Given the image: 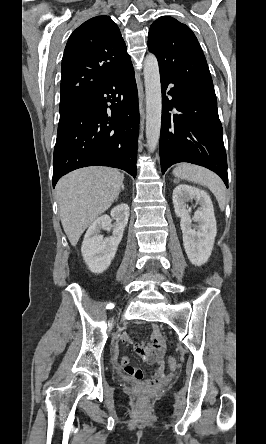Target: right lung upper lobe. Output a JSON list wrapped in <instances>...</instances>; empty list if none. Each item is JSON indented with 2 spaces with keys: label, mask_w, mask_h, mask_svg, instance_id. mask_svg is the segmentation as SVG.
I'll return each mask as SVG.
<instances>
[{
  "label": "right lung upper lobe",
  "mask_w": 266,
  "mask_h": 444,
  "mask_svg": "<svg viewBox=\"0 0 266 444\" xmlns=\"http://www.w3.org/2000/svg\"><path fill=\"white\" fill-rule=\"evenodd\" d=\"M118 26L93 17L73 31L62 59L61 98H84L130 62Z\"/></svg>",
  "instance_id": "obj_1"
}]
</instances>
